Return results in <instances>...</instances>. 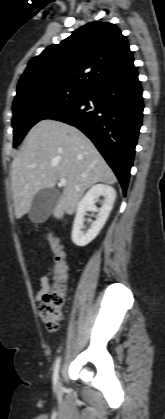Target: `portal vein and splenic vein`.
<instances>
[{
  "mask_svg": "<svg viewBox=\"0 0 165 419\" xmlns=\"http://www.w3.org/2000/svg\"><path fill=\"white\" fill-rule=\"evenodd\" d=\"M67 183V180L65 178L60 179V185L65 186Z\"/></svg>",
  "mask_w": 165,
  "mask_h": 419,
  "instance_id": "obj_1",
  "label": "portal vein and splenic vein"
}]
</instances>
